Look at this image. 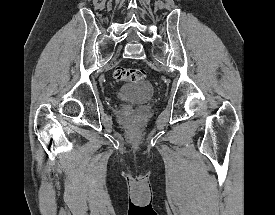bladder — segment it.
<instances>
[{
	"instance_id": "1",
	"label": "bladder",
	"mask_w": 275,
	"mask_h": 215,
	"mask_svg": "<svg viewBox=\"0 0 275 215\" xmlns=\"http://www.w3.org/2000/svg\"><path fill=\"white\" fill-rule=\"evenodd\" d=\"M154 87L146 81L130 82L122 86L117 92L118 99L133 101L137 103L147 102L152 99Z\"/></svg>"
}]
</instances>
